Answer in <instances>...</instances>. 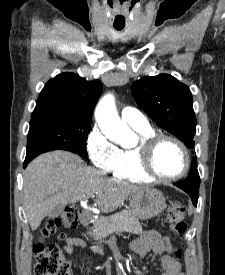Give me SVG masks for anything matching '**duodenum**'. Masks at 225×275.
Instances as JSON below:
<instances>
[{"label": "duodenum", "instance_id": "obj_1", "mask_svg": "<svg viewBox=\"0 0 225 275\" xmlns=\"http://www.w3.org/2000/svg\"><path fill=\"white\" fill-rule=\"evenodd\" d=\"M79 222L84 225V226H87L89 225L90 223V218L87 217L86 213L85 212H80L79 214Z\"/></svg>", "mask_w": 225, "mask_h": 275}]
</instances>
